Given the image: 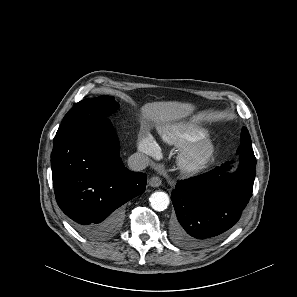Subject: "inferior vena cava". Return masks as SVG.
Returning a JSON list of instances; mask_svg holds the SVG:
<instances>
[{
    "label": "inferior vena cava",
    "instance_id": "602c4592",
    "mask_svg": "<svg viewBox=\"0 0 297 297\" xmlns=\"http://www.w3.org/2000/svg\"><path fill=\"white\" fill-rule=\"evenodd\" d=\"M128 166L133 171L144 170L149 165V158L141 153H134L128 158Z\"/></svg>",
    "mask_w": 297,
    "mask_h": 297
}]
</instances>
